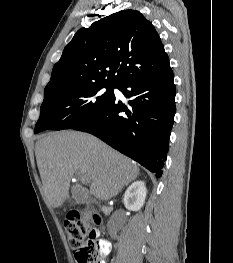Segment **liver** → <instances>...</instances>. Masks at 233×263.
I'll return each mask as SVG.
<instances>
[{"mask_svg":"<svg viewBox=\"0 0 233 263\" xmlns=\"http://www.w3.org/2000/svg\"><path fill=\"white\" fill-rule=\"evenodd\" d=\"M35 154L45 201L54 208L65 202L76 172L90 178V194L102 201L116 196L139 175L138 166L127 157L83 132L47 134L37 141Z\"/></svg>","mask_w":233,"mask_h":263,"instance_id":"liver-1","label":"liver"}]
</instances>
